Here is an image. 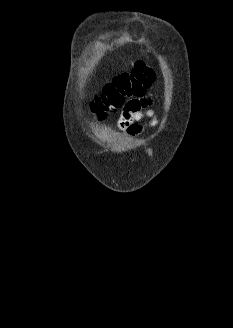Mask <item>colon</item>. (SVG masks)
Masks as SVG:
<instances>
[{"instance_id":"1","label":"colon","mask_w":233,"mask_h":328,"mask_svg":"<svg viewBox=\"0 0 233 328\" xmlns=\"http://www.w3.org/2000/svg\"><path fill=\"white\" fill-rule=\"evenodd\" d=\"M154 80V70L144 60H138L130 72L115 77L104 87L92 102V110L104 118L109 110L121 107L125 98L142 97Z\"/></svg>"}]
</instances>
